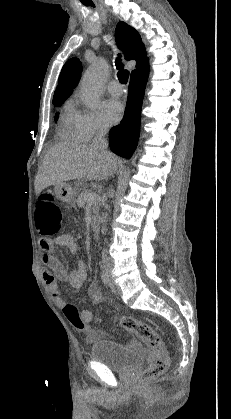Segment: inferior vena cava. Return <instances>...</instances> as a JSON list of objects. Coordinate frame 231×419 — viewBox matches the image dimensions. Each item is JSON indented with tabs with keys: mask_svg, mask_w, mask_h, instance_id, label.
I'll list each match as a JSON object with an SVG mask.
<instances>
[{
	"mask_svg": "<svg viewBox=\"0 0 231 419\" xmlns=\"http://www.w3.org/2000/svg\"><path fill=\"white\" fill-rule=\"evenodd\" d=\"M106 133H107V127L105 126H102L97 130L93 143H92V148L95 150H99L108 159H111L113 158V155L107 150L108 143L105 138ZM102 261L105 266L110 265V259L107 256V253L105 250L102 252Z\"/></svg>",
	"mask_w": 231,
	"mask_h": 419,
	"instance_id": "602c4592",
	"label": "inferior vena cava"
}]
</instances>
